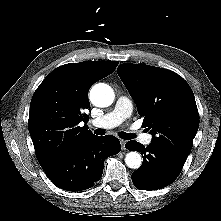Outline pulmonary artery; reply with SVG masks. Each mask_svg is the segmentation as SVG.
<instances>
[{"instance_id": "1", "label": "pulmonary artery", "mask_w": 221, "mask_h": 221, "mask_svg": "<svg viewBox=\"0 0 221 221\" xmlns=\"http://www.w3.org/2000/svg\"><path fill=\"white\" fill-rule=\"evenodd\" d=\"M131 113V101L127 97L121 96L118 98L115 107L111 112L93 119L91 124L97 128H112L128 119L131 116ZM140 139L144 144L148 145L151 143L152 136L149 134H143L140 136Z\"/></svg>"}]
</instances>
